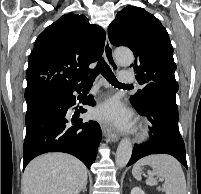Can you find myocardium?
<instances>
[{
    "label": "myocardium",
    "mask_w": 201,
    "mask_h": 194,
    "mask_svg": "<svg viewBox=\"0 0 201 194\" xmlns=\"http://www.w3.org/2000/svg\"><path fill=\"white\" fill-rule=\"evenodd\" d=\"M147 136H148L147 129L144 128V127L140 128L139 133H138V136H137L138 139H139V140H143V139H145Z\"/></svg>",
    "instance_id": "f54148a6"
}]
</instances>
